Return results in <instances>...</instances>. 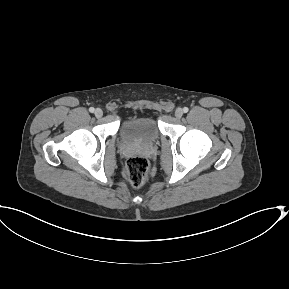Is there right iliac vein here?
Returning a JSON list of instances; mask_svg holds the SVG:
<instances>
[{"mask_svg": "<svg viewBox=\"0 0 289 289\" xmlns=\"http://www.w3.org/2000/svg\"><path fill=\"white\" fill-rule=\"evenodd\" d=\"M94 114L97 118H100L103 115V111L100 108H97Z\"/></svg>", "mask_w": 289, "mask_h": 289, "instance_id": "obj_1", "label": "right iliac vein"}]
</instances>
